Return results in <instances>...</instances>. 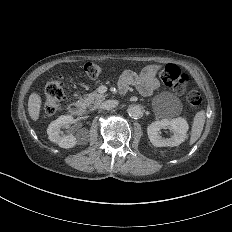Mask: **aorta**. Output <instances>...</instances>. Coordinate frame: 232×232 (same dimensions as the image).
I'll list each match as a JSON object with an SVG mask.
<instances>
[{
	"instance_id": "1",
	"label": "aorta",
	"mask_w": 232,
	"mask_h": 232,
	"mask_svg": "<svg viewBox=\"0 0 232 232\" xmlns=\"http://www.w3.org/2000/svg\"><path fill=\"white\" fill-rule=\"evenodd\" d=\"M128 114L130 117L136 119L139 118L143 115V109L140 105L138 104H132L128 107L127 110Z\"/></svg>"
}]
</instances>
